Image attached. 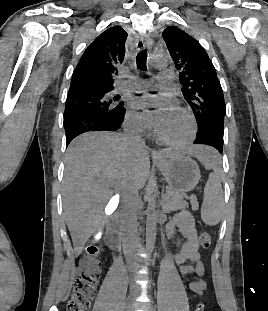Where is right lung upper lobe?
Returning a JSON list of instances; mask_svg holds the SVG:
<instances>
[{"label": "right lung upper lobe", "instance_id": "right-lung-upper-lobe-1", "mask_svg": "<svg viewBox=\"0 0 268 311\" xmlns=\"http://www.w3.org/2000/svg\"><path fill=\"white\" fill-rule=\"evenodd\" d=\"M127 33L114 26L99 35L84 51L76 66L70 89L87 87L113 90V76L125 56Z\"/></svg>", "mask_w": 268, "mask_h": 311}]
</instances>
